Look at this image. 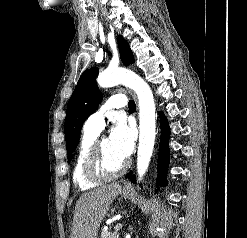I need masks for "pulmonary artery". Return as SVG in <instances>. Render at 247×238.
<instances>
[{"label":"pulmonary artery","instance_id":"pulmonary-artery-1","mask_svg":"<svg viewBox=\"0 0 247 238\" xmlns=\"http://www.w3.org/2000/svg\"><path fill=\"white\" fill-rule=\"evenodd\" d=\"M127 99L123 94L111 96L99 110L91 114L85 121L84 128L95 132H101L104 127V119L107 111L126 106Z\"/></svg>","mask_w":247,"mask_h":238}]
</instances>
